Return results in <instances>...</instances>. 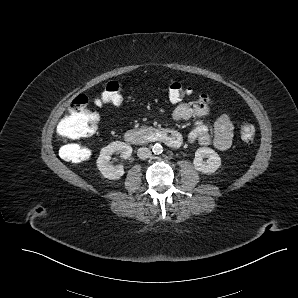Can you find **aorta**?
I'll list each match as a JSON object with an SVG mask.
<instances>
[{
	"instance_id": "aorta-1",
	"label": "aorta",
	"mask_w": 298,
	"mask_h": 298,
	"mask_svg": "<svg viewBox=\"0 0 298 298\" xmlns=\"http://www.w3.org/2000/svg\"><path fill=\"white\" fill-rule=\"evenodd\" d=\"M152 151L155 154H160L163 151V147L160 143L154 144L153 147H152Z\"/></svg>"
}]
</instances>
